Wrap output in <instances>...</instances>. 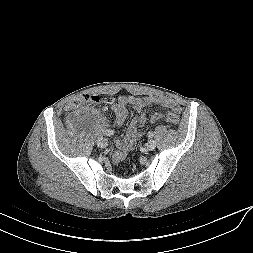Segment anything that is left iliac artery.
Instances as JSON below:
<instances>
[{"mask_svg": "<svg viewBox=\"0 0 253 253\" xmlns=\"http://www.w3.org/2000/svg\"><path fill=\"white\" fill-rule=\"evenodd\" d=\"M147 135L149 138H152L154 136V133H153V131H149Z\"/></svg>", "mask_w": 253, "mask_h": 253, "instance_id": "left-iliac-artery-1", "label": "left iliac artery"}]
</instances>
